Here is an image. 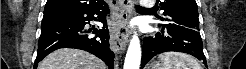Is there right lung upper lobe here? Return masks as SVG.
I'll list each match as a JSON object with an SVG mask.
<instances>
[{"mask_svg":"<svg viewBox=\"0 0 246 69\" xmlns=\"http://www.w3.org/2000/svg\"><path fill=\"white\" fill-rule=\"evenodd\" d=\"M107 5L103 0H47L44 13L53 10L99 8Z\"/></svg>","mask_w":246,"mask_h":69,"instance_id":"right-lung-upper-lobe-1","label":"right lung upper lobe"}]
</instances>
